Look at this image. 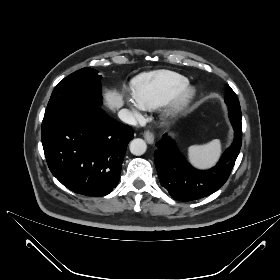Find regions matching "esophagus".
<instances>
[{"label": "esophagus", "instance_id": "obj_1", "mask_svg": "<svg viewBox=\"0 0 280 280\" xmlns=\"http://www.w3.org/2000/svg\"><path fill=\"white\" fill-rule=\"evenodd\" d=\"M143 135H144V138L147 141V143L152 144L154 142V135L152 132L147 130L144 132Z\"/></svg>", "mask_w": 280, "mask_h": 280}]
</instances>
